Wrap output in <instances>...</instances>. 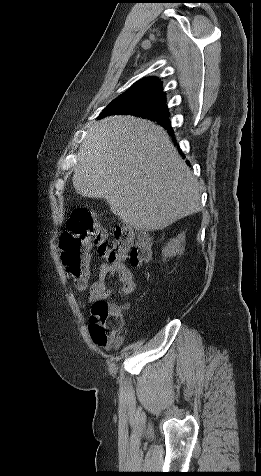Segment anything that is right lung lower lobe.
Wrapping results in <instances>:
<instances>
[{"instance_id":"98d812e1","label":"right lung lower lobe","mask_w":261,"mask_h":476,"mask_svg":"<svg viewBox=\"0 0 261 476\" xmlns=\"http://www.w3.org/2000/svg\"><path fill=\"white\" fill-rule=\"evenodd\" d=\"M167 131H169V133L173 134L172 132V129L170 128V124L167 123V124H161Z\"/></svg>"}]
</instances>
